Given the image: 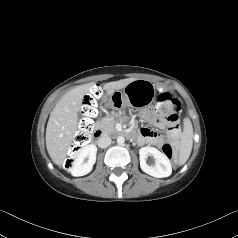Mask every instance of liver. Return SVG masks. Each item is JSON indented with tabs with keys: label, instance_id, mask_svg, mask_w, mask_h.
<instances>
[{
	"label": "liver",
	"instance_id": "obj_1",
	"mask_svg": "<svg viewBox=\"0 0 238 238\" xmlns=\"http://www.w3.org/2000/svg\"><path fill=\"white\" fill-rule=\"evenodd\" d=\"M135 78H126L104 84L108 93L120 90ZM95 86L94 83L80 85L67 92L56 104L47 123L46 147L48 154L56 165H62L67 151L78 128V111L84 96Z\"/></svg>",
	"mask_w": 238,
	"mask_h": 238
}]
</instances>
